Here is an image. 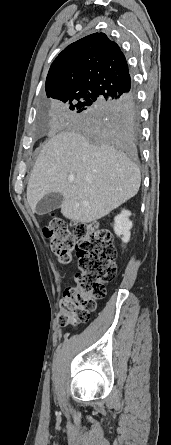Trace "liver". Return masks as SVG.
I'll return each mask as SVG.
<instances>
[{
  "mask_svg": "<svg viewBox=\"0 0 171 445\" xmlns=\"http://www.w3.org/2000/svg\"><path fill=\"white\" fill-rule=\"evenodd\" d=\"M73 177V181H69ZM138 166L108 143L92 144L78 132L54 134L43 146L27 186L32 212L51 192L63 195L61 213L72 221L90 223L135 196Z\"/></svg>",
  "mask_w": 171,
  "mask_h": 445,
  "instance_id": "6515ba94",
  "label": "liver"
}]
</instances>
